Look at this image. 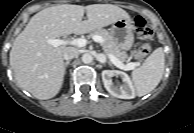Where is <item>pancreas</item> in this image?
<instances>
[{
	"label": "pancreas",
	"mask_w": 194,
	"mask_h": 133,
	"mask_svg": "<svg viewBox=\"0 0 194 133\" xmlns=\"http://www.w3.org/2000/svg\"><path fill=\"white\" fill-rule=\"evenodd\" d=\"M95 35H99L104 39V42L101 43V45L106 55L112 54L120 61L126 60V53L124 51H121V49L114 41L112 35L107 30L97 29L92 31L89 36L91 37Z\"/></svg>",
	"instance_id": "pancreas-1"
}]
</instances>
